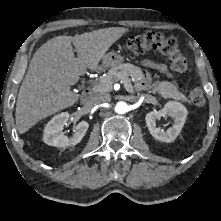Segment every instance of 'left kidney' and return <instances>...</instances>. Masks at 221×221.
<instances>
[{
  "label": "left kidney",
  "mask_w": 221,
  "mask_h": 221,
  "mask_svg": "<svg viewBox=\"0 0 221 221\" xmlns=\"http://www.w3.org/2000/svg\"><path fill=\"white\" fill-rule=\"evenodd\" d=\"M187 109L179 102L170 101L166 103L163 109L159 111H151L146 117V124L150 134L156 139L162 142H172L181 132L183 125L187 117ZM170 116L174 119V124L172 127L166 131L161 130L156 126V121L161 117Z\"/></svg>",
  "instance_id": "obj_1"
}]
</instances>
